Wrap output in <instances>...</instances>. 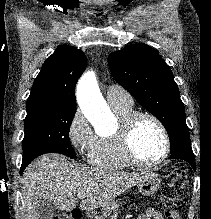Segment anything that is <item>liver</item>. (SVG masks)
<instances>
[{"mask_svg":"<svg viewBox=\"0 0 211 219\" xmlns=\"http://www.w3.org/2000/svg\"><path fill=\"white\" fill-rule=\"evenodd\" d=\"M150 171H108L74 165L58 154H44L31 162L22 178V195L27 219H39V206L52 200L56 209L70 211L77 207L75 196L85 193L82 210L108 204L142 181Z\"/></svg>","mask_w":211,"mask_h":219,"instance_id":"liver-1","label":"liver"}]
</instances>
